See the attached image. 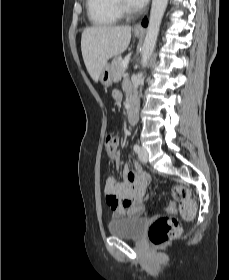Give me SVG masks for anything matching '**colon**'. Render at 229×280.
<instances>
[{"mask_svg": "<svg viewBox=\"0 0 229 280\" xmlns=\"http://www.w3.org/2000/svg\"><path fill=\"white\" fill-rule=\"evenodd\" d=\"M117 145V138L112 135H108L104 142V152L108 157H111ZM141 177H137L135 180L139 181ZM146 180L145 177H143ZM172 195L179 203V213L182 218L186 220L193 219L198 213V203L191 197L189 189L184 185H176L172 188ZM182 230V225L177 218L160 217L157 218L149 228L148 237L149 240L155 246L164 245L169 239L177 236Z\"/></svg>", "mask_w": 229, "mask_h": 280, "instance_id": "obj_1", "label": "colon"}]
</instances>
